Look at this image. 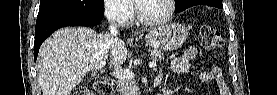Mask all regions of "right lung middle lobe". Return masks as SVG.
<instances>
[{
    "label": "right lung middle lobe",
    "mask_w": 277,
    "mask_h": 95,
    "mask_svg": "<svg viewBox=\"0 0 277 95\" xmlns=\"http://www.w3.org/2000/svg\"><path fill=\"white\" fill-rule=\"evenodd\" d=\"M103 12V0H41L37 19L59 15H95Z\"/></svg>",
    "instance_id": "1"
}]
</instances>
